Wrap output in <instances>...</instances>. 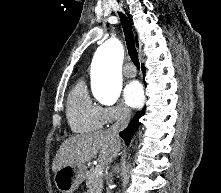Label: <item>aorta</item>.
<instances>
[{
	"label": "aorta",
	"mask_w": 221,
	"mask_h": 193,
	"mask_svg": "<svg viewBox=\"0 0 221 193\" xmlns=\"http://www.w3.org/2000/svg\"><path fill=\"white\" fill-rule=\"evenodd\" d=\"M123 53L121 43L115 39L102 44L95 53L93 94L104 104H113L120 96Z\"/></svg>",
	"instance_id": "aorta-1"
}]
</instances>
